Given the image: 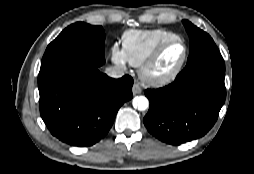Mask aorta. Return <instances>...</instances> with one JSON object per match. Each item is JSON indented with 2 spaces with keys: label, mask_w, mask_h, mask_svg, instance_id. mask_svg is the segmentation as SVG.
Wrapping results in <instances>:
<instances>
[{
  "label": "aorta",
  "mask_w": 254,
  "mask_h": 174,
  "mask_svg": "<svg viewBox=\"0 0 254 174\" xmlns=\"http://www.w3.org/2000/svg\"><path fill=\"white\" fill-rule=\"evenodd\" d=\"M133 106L140 111H144L149 107V101L145 96H139L134 98Z\"/></svg>",
  "instance_id": "aorta-1"
}]
</instances>
